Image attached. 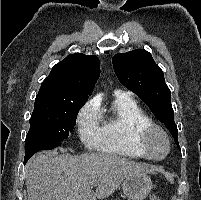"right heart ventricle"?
Returning a JSON list of instances; mask_svg holds the SVG:
<instances>
[{
	"mask_svg": "<svg viewBox=\"0 0 201 200\" xmlns=\"http://www.w3.org/2000/svg\"><path fill=\"white\" fill-rule=\"evenodd\" d=\"M98 113L100 128L97 148L100 151L133 159L147 158L138 143L137 132L151 120L133 98L118 93L108 110Z\"/></svg>",
	"mask_w": 201,
	"mask_h": 200,
	"instance_id": "e07e8e85",
	"label": "right heart ventricle"
}]
</instances>
